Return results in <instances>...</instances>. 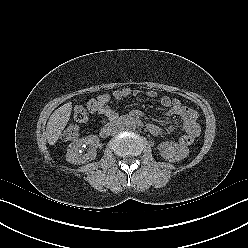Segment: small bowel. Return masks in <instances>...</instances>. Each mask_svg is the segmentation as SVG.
<instances>
[{"instance_id": "1", "label": "small bowel", "mask_w": 248, "mask_h": 248, "mask_svg": "<svg viewBox=\"0 0 248 248\" xmlns=\"http://www.w3.org/2000/svg\"><path fill=\"white\" fill-rule=\"evenodd\" d=\"M138 90H130L128 88L118 89L115 90L112 95L108 93H104L99 96L100 106L98 112L108 120H112L113 118L117 117V112L114 108L109 105L111 98L115 100H122L130 96H137L139 95ZM148 98H155L157 97V93L153 90L148 91L146 93ZM161 104L164 107L168 108L167 115L168 116H178L183 121V130L185 135L191 136L196 138L200 133V125L198 123V112L188 106L183 105L178 99L171 98L167 95H164L160 99ZM173 126H169L166 129H163L157 124L150 123L148 125V130L153 135H160L165 131L172 130Z\"/></svg>"}]
</instances>
